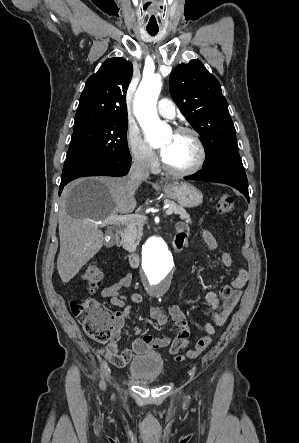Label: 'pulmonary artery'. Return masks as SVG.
Masks as SVG:
<instances>
[{"label": "pulmonary artery", "mask_w": 299, "mask_h": 443, "mask_svg": "<svg viewBox=\"0 0 299 443\" xmlns=\"http://www.w3.org/2000/svg\"><path fill=\"white\" fill-rule=\"evenodd\" d=\"M157 110L159 114L165 118H174L176 115L175 104L167 98H163L158 102Z\"/></svg>", "instance_id": "e3ab8cb5"}]
</instances>
